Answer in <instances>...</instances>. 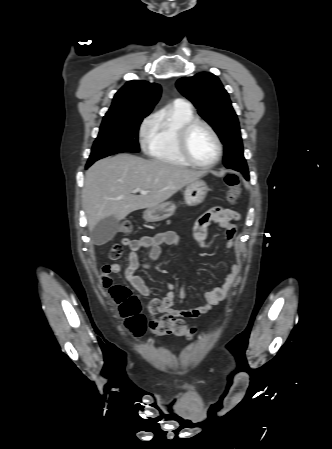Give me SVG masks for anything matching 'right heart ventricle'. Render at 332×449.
<instances>
[{"mask_svg":"<svg viewBox=\"0 0 332 449\" xmlns=\"http://www.w3.org/2000/svg\"><path fill=\"white\" fill-rule=\"evenodd\" d=\"M194 119L186 103H175L158 115L146 143V151L152 158L173 165H188L178 150L177 137L182 125Z\"/></svg>","mask_w":332,"mask_h":449,"instance_id":"e07e8e85","label":"right heart ventricle"}]
</instances>
